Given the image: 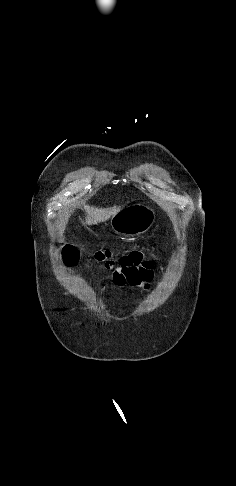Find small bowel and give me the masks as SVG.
Instances as JSON below:
<instances>
[{"mask_svg":"<svg viewBox=\"0 0 236 486\" xmlns=\"http://www.w3.org/2000/svg\"><path fill=\"white\" fill-rule=\"evenodd\" d=\"M154 264L150 260H143L142 256L133 252L122 258L120 267L115 270L112 283L117 287L142 286L150 288L154 279Z\"/></svg>","mask_w":236,"mask_h":486,"instance_id":"1","label":"small bowel"}]
</instances>
